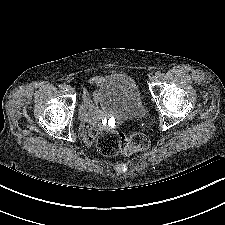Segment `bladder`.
I'll return each instance as SVG.
<instances>
[{
    "mask_svg": "<svg viewBox=\"0 0 225 225\" xmlns=\"http://www.w3.org/2000/svg\"><path fill=\"white\" fill-rule=\"evenodd\" d=\"M101 108L125 119L145 115L147 108L133 77L112 73L102 78L96 93Z\"/></svg>",
    "mask_w": 225,
    "mask_h": 225,
    "instance_id": "bladder-1",
    "label": "bladder"
}]
</instances>
